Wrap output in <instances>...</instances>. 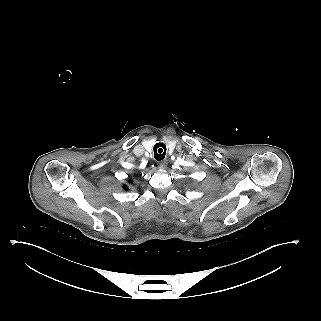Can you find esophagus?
I'll return each mask as SVG.
<instances>
[{
    "instance_id": "1",
    "label": "esophagus",
    "mask_w": 321,
    "mask_h": 321,
    "mask_svg": "<svg viewBox=\"0 0 321 321\" xmlns=\"http://www.w3.org/2000/svg\"><path fill=\"white\" fill-rule=\"evenodd\" d=\"M167 164H168L167 161H163L162 163H160L159 169H165V167L167 166Z\"/></svg>"
}]
</instances>
